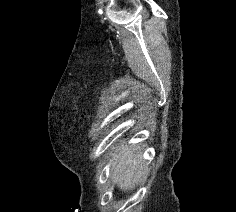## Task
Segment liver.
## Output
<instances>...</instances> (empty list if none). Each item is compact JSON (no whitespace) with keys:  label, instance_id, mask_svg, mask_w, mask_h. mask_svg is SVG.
Here are the masks:
<instances>
[{"label":"liver","instance_id":"obj_1","mask_svg":"<svg viewBox=\"0 0 236 212\" xmlns=\"http://www.w3.org/2000/svg\"><path fill=\"white\" fill-rule=\"evenodd\" d=\"M144 164L141 155H136V149L129 147L112 155L111 178L124 192L134 189L144 176Z\"/></svg>","mask_w":236,"mask_h":212}]
</instances>
